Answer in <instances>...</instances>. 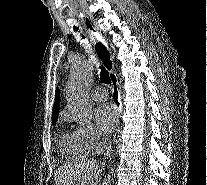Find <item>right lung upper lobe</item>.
Returning <instances> with one entry per match:
<instances>
[{
  "mask_svg": "<svg viewBox=\"0 0 207 185\" xmlns=\"http://www.w3.org/2000/svg\"><path fill=\"white\" fill-rule=\"evenodd\" d=\"M59 107H60V92L59 89H56L55 93V102L53 106V112H52V123L55 124L59 112Z\"/></svg>",
  "mask_w": 207,
  "mask_h": 185,
  "instance_id": "1",
  "label": "right lung upper lobe"
}]
</instances>
